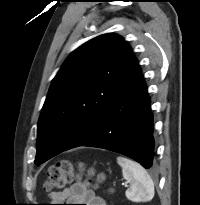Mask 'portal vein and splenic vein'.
Wrapping results in <instances>:
<instances>
[{"label":"portal vein and splenic vein","instance_id":"obj_1","mask_svg":"<svg viewBox=\"0 0 200 205\" xmlns=\"http://www.w3.org/2000/svg\"><path fill=\"white\" fill-rule=\"evenodd\" d=\"M122 185L127 186V183H122Z\"/></svg>","mask_w":200,"mask_h":205}]
</instances>
